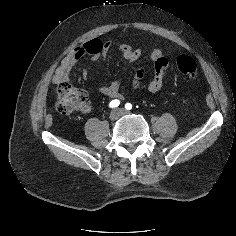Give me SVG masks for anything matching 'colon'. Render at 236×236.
Instances as JSON below:
<instances>
[{
  "instance_id": "1",
  "label": "colon",
  "mask_w": 236,
  "mask_h": 236,
  "mask_svg": "<svg viewBox=\"0 0 236 236\" xmlns=\"http://www.w3.org/2000/svg\"><path fill=\"white\" fill-rule=\"evenodd\" d=\"M177 69L186 79H193L197 75V64L192 57L187 55L179 57ZM143 73V69L137 71L134 80L135 85L138 84ZM86 97V92L84 90L70 84H61L58 89L56 109L62 115H70L84 106Z\"/></svg>"
}]
</instances>
